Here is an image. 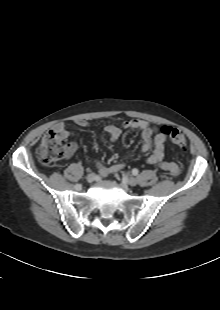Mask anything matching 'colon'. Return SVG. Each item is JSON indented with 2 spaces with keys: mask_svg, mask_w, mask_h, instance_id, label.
Returning <instances> with one entry per match:
<instances>
[{
  "mask_svg": "<svg viewBox=\"0 0 220 310\" xmlns=\"http://www.w3.org/2000/svg\"><path fill=\"white\" fill-rule=\"evenodd\" d=\"M160 132L166 135L172 143L180 148H186L187 140L182 130L169 126L161 128ZM67 144L60 132L52 129L46 132L37 150L38 159L46 164H54L67 155Z\"/></svg>",
  "mask_w": 220,
  "mask_h": 310,
  "instance_id": "colon-1",
  "label": "colon"
}]
</instances>
